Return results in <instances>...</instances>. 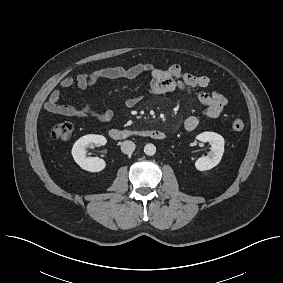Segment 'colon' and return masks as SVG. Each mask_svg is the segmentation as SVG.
Returning a JSON list of instances; mask_svg holds the SVG:
<instances>
[{"instance_id": "1", "label": "colon", "mask_w": 283, "mask_h": 283, "mask_svg": "<svg viewBox=\"0 0 283 283\" xmlns=\"http://www.w3.org/2000/svg\"><path fill=\"white\" fill-rule=\"evenodd\" d=\"M245 123L241 119H235L232 122V129L234 131H242ZM74 130V124L71 121H63L55 124L51 129V135L54 139L60 141H67L71 138Z\"/></svg>"}]
</instances>
